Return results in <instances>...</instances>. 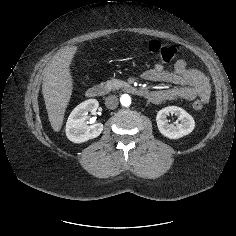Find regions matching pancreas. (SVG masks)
I'll return each instance as SVG.
<instances>
[{
    "mask_svg": "<svg viewBox=\"0 0 236 236\" xmlns=\"http://www.w3.org/2000/svg\"><path fill=\"white\" fill-rule=\"evenodd\" d=\"M104 86L108 91H111L114 89L124 88L128 86V84L122 80L112 79V80H107L106 82H104Z\"/></svg>",
    "mask_w": 236,
    "mask_h": 236,
    "instance_id": "obj_1",
    "label": "pancreas"
}]
</instances>
